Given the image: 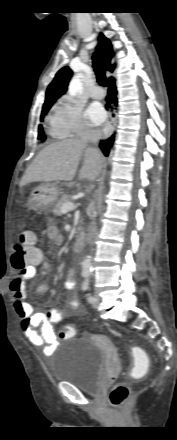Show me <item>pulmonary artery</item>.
I'll list each match as a JSON object with an SVG mask.
<instances>
[{"instance_id":"pulmonary-artery-1","label":"pulmonary artery","mask_w":177,"mask_h":440,"mask_svg":"<svg viewBox=\"0 0 177 440\" xmlns=\"http://www.w3.org/2000/svg\"><path fill=\"white\" fill-rule=\"evenodd\" d=\"M90 96L94 99H102L104 97V91L101 87L95 86L91 92Z\"/></svg>"}]
</instances>
